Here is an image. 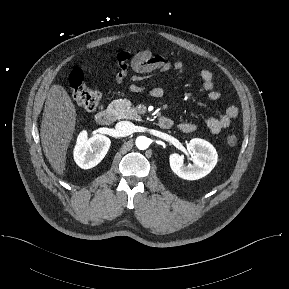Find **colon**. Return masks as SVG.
<instances>
[{
  "mask_svg": "<svg viewBox=\"0 0 289 289\" xmlns=\"http://www.w3.org/2000/svg\"><path fill=\"white\" fill-rule=\"evenodd\" d=\"M69 93L76 103L87 111H95L101 107V95L90 89L80 70H74L69 76ZM227 144L230 147L237 145V137L233 134L227 136Z\"/></svg>",
  "mask_w": 289,
  "mask_h": 289,
  "instance_id": "obj_1",
  "label": "colon"
}]
</instances>
